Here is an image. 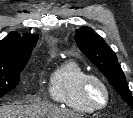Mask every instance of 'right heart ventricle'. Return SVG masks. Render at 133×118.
I'll return each mask as SVG.
<instances>
[{
  "mask_svg": "<svg viewBox=\"0 0 133 118\" xmlns=\"http://www.w3.org/2000/svg\"><path fill=\"white\" fill-rule=\"evenodd\" d=\"M87 75V71L74 60L60 64L49 78L50 98L75 112L92 114L94 110L85 102L82 93V83Z\"/></svg>",
  "mask_w": 133,
  "mask_h": 118,
  "instance_id": "1",
  "label": "right heart ventricle"
}]
</instances>
